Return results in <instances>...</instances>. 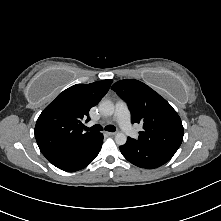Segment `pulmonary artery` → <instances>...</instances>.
<instances>
[{
  "label": "pulmonary artery",
  "instance_id": "obj_1",
  "mask_svg": "<svg viewBox=\"0 0 221 221\" xmlns=\"http://www.w3.org/2000/svg\"><path fill=\"white\" fill-rule=\"evenodd\" d=\"M114 119L119 123L121 129L127 135H135L134 128L131 124L130 110L128 105L122 100L116 102Z\"/></svg>",
  "mask_w": 221,
  "mask_h": 221
}]
</instances>
